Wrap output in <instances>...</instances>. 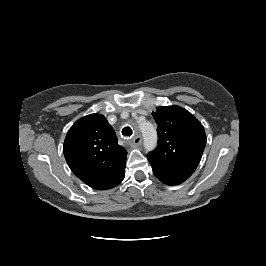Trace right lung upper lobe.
Masks as SVG:
<instances>
[{
	"mask_svg": "<svg viewBox=\"0 0 266 266\" xmlns=\"http://www.w3.org/2000/svg\"><path fill=\"white\" fill-rule=\"evenodd\" d=\"M63 153L73 173L94 189H111L125 177L127 151L118 145L115 131L103 115L78 119L65 137Z\"/></svg>",
	"mask_w": 266,
	"mask_h": 266,
	"instance_id": "cb5924a9",
	"label": "right lung upper lobe"
}]
</instances>
